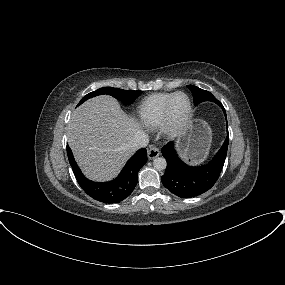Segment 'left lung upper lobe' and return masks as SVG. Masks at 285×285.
Instances as JSON below:
<instances>
[{
    "instance_id": "left-lung-upper-lobe-1",
    "label": "left lung upper lobe",
    "mask_w": 285,
    "mask_h": 285,
    "mask_svg": "<svg viewBox=\"0 0 285 285\" xmlns=\"http://www.w3.org/2000/svg\"><path fill=\"white\" fill-rule=\"evenodd\" d=\"M187 87L193 93L195 106H197L199 103L203 101H212L215 102L216 104L219 103V101L210 92L200 89L194 85H187Z\"/></svg>"
}]
</instances>
